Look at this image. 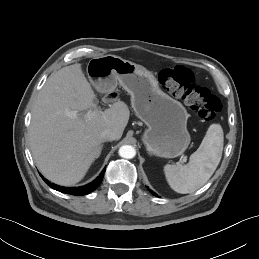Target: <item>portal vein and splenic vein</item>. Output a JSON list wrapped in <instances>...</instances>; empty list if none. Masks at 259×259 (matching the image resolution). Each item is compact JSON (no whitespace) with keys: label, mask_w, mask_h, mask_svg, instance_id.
<instances>
[{"label":"portal vein and splenic vein","mask_w":259,"mask_h":259,"mask_svg":"<svg viewBox=\"0 0 259 259\" xmlns=\"http://www.w3.org/2000/svg\"><path fill=\"white\" fill-rule=\"evenodd\" d=\"M98 112L99 111H89V112L86 113L85 117L86 118H92ZM70 115H75V113H71Z\"/></svg>","instance_id":"18ae733b"}]
</instances>
